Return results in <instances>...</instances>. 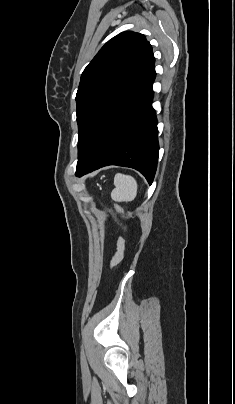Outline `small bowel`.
I'll list each match as a JSON object with an SVG mask.
<instances>
[{"instance_id": "c3829d8e", "label": "small bowel", "mask_w": 235, "mask_h": 404, "mask_svg": "<svg viewBox=\"0 0 235 404\" xmlns=\"http://www.w3.org/2000/svg\"><path fill=\"white\" fill-rule=\"evenodd\" d=\"M123 251H124V242L122 239H119L117 242V250L114 254V256L112 257L110 264L116 265L117 263H119L123 257Z\"/></svg>"}]
</instances>
